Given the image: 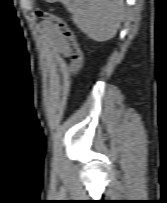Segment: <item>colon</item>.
Instances as JSON below:
<instances>
[{"label": "colon", "instance_id": "colon-1", "mask_svg": "<svg viewBox=\"0 0 167 203\" xmlns=\"http://www.w3.org/2000/svg\"><path fill=\"white\" fill-rule=\"evenodd\" d=\"M37 17L43 18L48 22L53 23L62 33L63 37L70 43L74 49L73 61H74V71L73 78H77L82 71L84 56L83 52L79 46L76 35L74 31L69 27L67 22L57 15L42 9H37L35 11Z\"/></svg>", "mask_w": 167, "mask_h": 203}]
</instances>
